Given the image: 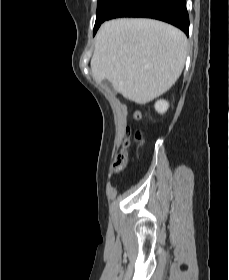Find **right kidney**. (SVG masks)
<instances>
[{"label":"right kidney","instance_id":"obj_1","mask_svg":"<svg viewBox=\"0 0 229 280\" xmlns=\"http://www.w3.org/2000/svg\"><path fill=\"white\" fill-rule=\"evenodd\" d=\"M169 104L165 100H159L155 103V109L158 113L163 114L167 111Z\"/></svg>","mask_w":229,"mask_h":280}]
</instances>
